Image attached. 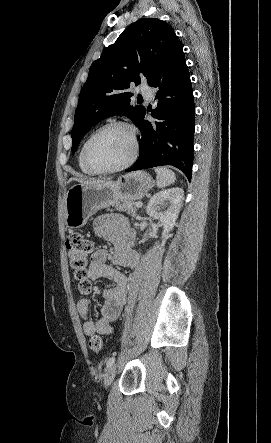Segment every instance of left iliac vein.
<instances>
[{
  "label": "left iliac vein",
  "mask_w": 271,
  "mask_h": 443,
  "mask_svg": "<svg viewBox=\"0 0 271 443\" xmlns=\"http://www.w3.org/2000/svg\"><path fill=\"white\" fill-rule=\"evenodd\" d=\"M116 375V365H112L105 374L104 377V386L108 388L110 384L113 382Z\"/></svg>",
  "instance_id": "left-iliac-vein-1"
}]
</instances>
